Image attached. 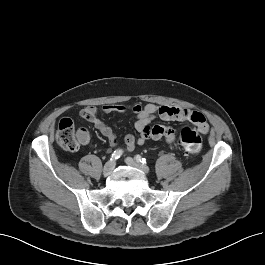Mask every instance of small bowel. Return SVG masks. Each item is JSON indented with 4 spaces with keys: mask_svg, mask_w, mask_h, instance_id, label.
<instances>
[{
    "mask_svg": "<svg viewBox=\"0 0 265 265\" xmlns=\"http://www.w3.org/2000/svg\"><path fill=\"white\" fill-rule=\"evenodd\" d=\"M128 107L124 104L104 105L102 111L104 113H124ZM131 110L137 114L135 121V129L138 136L128 134L124 138L125 149L129 152L133 151L136 145H142L148 139H164L168 143L175 140V131L170 126L156 125L150 126V122L156 116L165 121H190L200 132L206 134L209 131V125L205 116L195 110L170 106L147 104L144 107L135 104ZM98 109L94 106H86L80 111V116L90 122L103 136H105L112 146L118 144V138L112 128L104 123L98 117ZM78 137L80 143L85 145L90 140L89 132L86 128L78 129Z\"/></svg>",
    "mask_w": 265,
    "mask_h": 265,
    "instance_id": "obj_1",
    "label": "small bowel"
}]
</instances>
